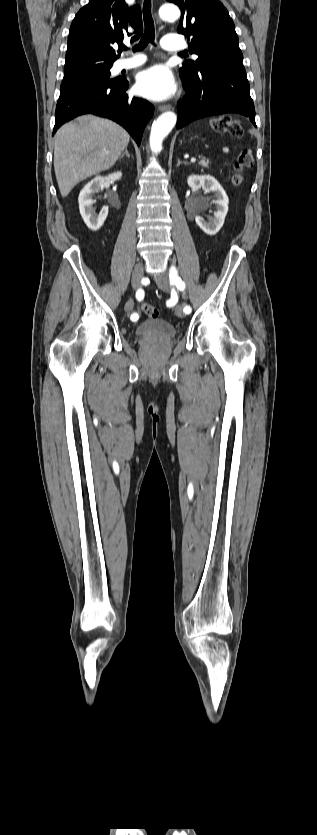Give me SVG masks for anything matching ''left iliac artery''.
I'll return each instance as SVG.
<instances>
[{"instance_id": "44dca946", "label": "left iliac artery", "mask_w": 317, "mask_h": 835, "mask_svg": "<svg viewBox=\"0 0 317 835\" xmlns=\"http://www.w3.org/2000/svg\"><path fill=\"white\" fill-rule=\"evenodd\" d=\"M169 278H170V282H171V284H175V285H176V287H177L180 291H183V290L185 289V283H184V282L182 281V279H181V278L177 275V272H176L175 268H171ZM183 310H184V312H185V313H187V314H188V313H190V312H191V310H192V309H191V307H190V306L186 305V306L184 307V309H183Z\"/></svg>"}]
</instances>
